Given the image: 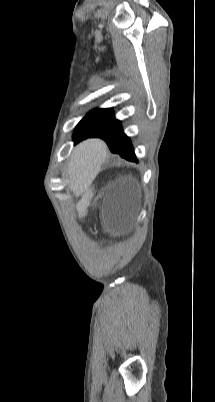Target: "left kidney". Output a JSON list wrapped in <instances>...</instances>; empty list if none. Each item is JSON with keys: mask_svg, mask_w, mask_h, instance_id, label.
Instances as JSON below:
<instances>
[{"mask_svg": "<svg viewBox=\"0 0 215 402\" xmlns=\"http://www.w3.org/2000/svg\"><path fill=\"white\" fill-rule=\"evenodd\" d=\"M78 208L84 209L86 207H91V202H86L84 200H80L77 203ZM81 212V211H80ZM83 212V211H82ZM78 220L79 221H86L87 220V215L86 214H79L78 215Z\"/></svg>", "mask_w": 215, "mask_h": 402, "instance_id": "obj_1", "label": "left kidney"}]
</instances>
